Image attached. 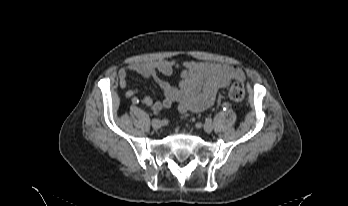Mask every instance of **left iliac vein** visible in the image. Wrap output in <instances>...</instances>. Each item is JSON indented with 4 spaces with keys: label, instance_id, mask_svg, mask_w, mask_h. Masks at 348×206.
<instances>
[{
    "label": "left iliac vein",
    "instance_id": "left-iliac-vein-1",
    "mask_svg": "<svg viewBox=\"0 0 348 206\" xmlns=\"http://www.w3.org/2000/svg\"><path fill=\"white\" fill-rule=\"evenodd\" d=\"M203 129L206 133H211L213 130V125L210 122H207L203 125Z\"/></svg>",
    "mask_w": 348,
    "mask_h": 206
}]
</instances>
